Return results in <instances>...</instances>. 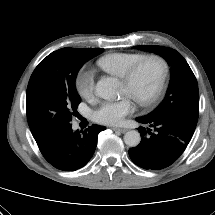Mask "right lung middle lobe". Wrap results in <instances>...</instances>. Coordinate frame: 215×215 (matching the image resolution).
<instances>
[{
	"mask_svg": "<svg viewBox=\"0 0 215 215\" xmlns=\"http://www.w3.org/2000/svg\"><path fill=\"white\" fill-rule=\"evenodd\" d=\"M103 49L62 48L35 68L26 93L27 119L38 145L70 125L81 99L75 79L85 62Z\"/></svg>",
	"mask_w": 215,
	"mask_h": 215,
	"instance_id": "obj_1",
	"label": "right lung middle lobe"
}]
</instances>
